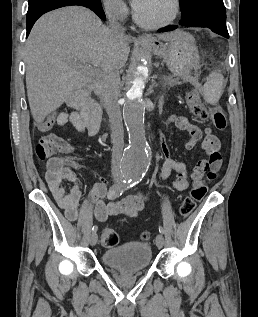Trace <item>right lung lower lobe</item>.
<instances>
[{"label":"right lung lower lobe","mask_w":258,"mask_h":317,"mask_svg":"<svg viewBox=\"0 0 258 317\" xmlns=\"http://www.w3.org/2000/svg\"><path fill=\"white\" fill-rule=\"evenodd\" d=\"M29 8L27 12V35L36 20L44 13L51 10L71 5L84 6L94 11L102 20H106L100 0H28Z\"/></svg>","instance_id":"right-lung-lower-lobe-1"}]
</instances>
